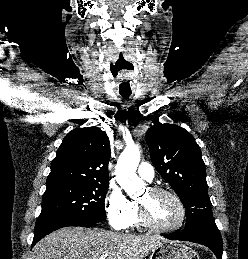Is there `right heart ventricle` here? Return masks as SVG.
<instances>
[{
    "mask_svg": "<svg viewBox=\"0 0 248 259\" xmlns=\"http://www.w3.org/2000/svg\"><path fill=\"white\" fill-rule=\"evenodd\" d=\"M134 208H133V214L131 217L130 225L140 227L141 223L139 220V215H138V206L136 203L133 202Z\"/></svg>",
    "mask_w": 248,
    "mask_h": 259,
    "instance_id": "right-heart-ventricle-1",
    "label": "right heart ventricle"
}]
</instances>
